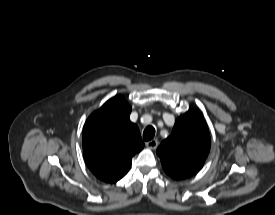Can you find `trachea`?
<instances>
[{"mask_svg": "<svg viewBox=\"0 0 275 215\" xmlns=\"http://www.w3.org/2000/svg\"><path fill=\"white\" fill-rule=\"evenodd\" d=\"M155 129L152 126H148L143 132V139L145 141H150L154 138Z\"/></svg>", "mask_w": 275, "mask_h": 215, "instance_id": "obj_1", "label": "trachea"}]
</instances>
